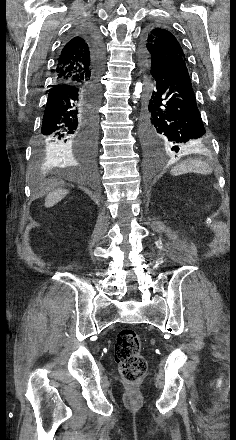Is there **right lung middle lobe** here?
I'll return each mask as SVG.
<instances>
[{"mask_svg":"<svg viewBox=\"0 0 236 440\" xmlns=\"http://www.w3.org/2000/svg\"><path fill=\"white\" fill-rule=\"evenodd\" d=\"M99 92H100V87H99ZM48 157H49V156L47 155L46 152H44L43 150H39V151L36 153L35 160H36L37 163L40 164V163L46 161V160L48 159Z\"/></svg>","mask_w":236,"mask_h":440,"instance_id":"1","label":"right lung middle lobe"}]
</instances>
